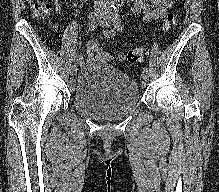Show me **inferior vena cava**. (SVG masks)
Segmentation results:
<instances>
[{
	"mask_svg": "<svg viewBox=\"0 0 219 192\" xmlns=\"http://www.w3.org/2000/svg\"><path fill=\"white\" fill-rule=\"evenodd\" d=\"M94 2L104 7L105 9H107V5L109 4V0H94Z\"/></svg>",
	"mask_w": 219,
	"mask_h": 192,
	"instance_id": "obj_1",
	"label": "inferior vena cava"
}]
</instances>
